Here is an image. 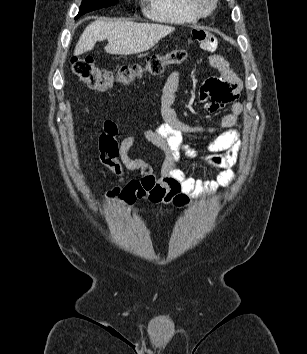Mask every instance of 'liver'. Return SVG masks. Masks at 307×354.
Instances as JSON below:
<instances>
[{"label": "liver", "mask_w": 307, "mask_h": 354, "mask_svg": "<svg viewBox=\"0 0 307 354\" xmlns=\"http://www.w3.org/2000/svg\"><path fill=\"white\" fill-rule=\"evenodd\" d=\"M175 30L172 26L130 21H103L90 23L80 36L74 55L91 51L97 41L108 40L105 51L113 55H132L144 52Z\"/></svg>", "instance_id": "1"}]
</instances>
